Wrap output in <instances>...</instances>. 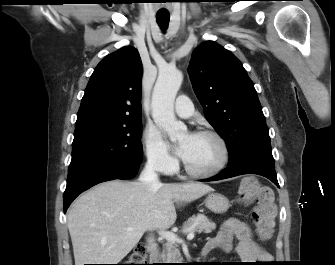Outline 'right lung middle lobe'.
<instances>
[{"label": "right lung middle lobe", "instance_id": "1", "mask_svg": "<svg viewBox=\"0 0 335 265\" xmlns=\"http://www.w3.org/2000/svg\"><path fill=\"white\" fill-rule=\"evenodd\" d=\"M142 120L75 129L68 174L90 165L135 166L142 161Z\"/></svg>", "mask_w": 335, "mask_h": 265}]
</instances>
